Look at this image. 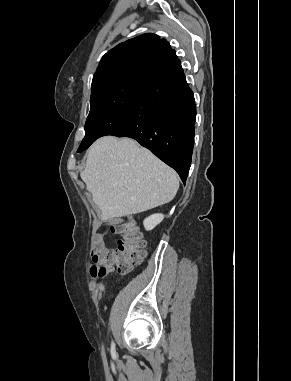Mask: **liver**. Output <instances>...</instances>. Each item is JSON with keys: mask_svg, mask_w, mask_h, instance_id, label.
Listing matches in <instances>:
<instances>
[{"mask_svg": "<svg viewBox=\"0 0 291 381\" xmlns=\"http://www.w3.org/2000/svg\"><path fill=\"white\" fill-rule=\"evenodd\" d=\"M81 179L103 221L166 204L179 188L177 173L148 149L133 139L113 136L93 143Z\"/></svg>", "mask_w": 291, "mask_h": 381, "instance_id": "liver-1", "label": "liver"}]
</instances>
